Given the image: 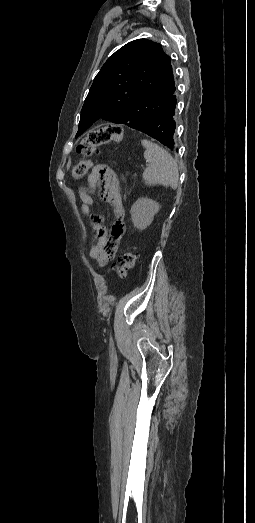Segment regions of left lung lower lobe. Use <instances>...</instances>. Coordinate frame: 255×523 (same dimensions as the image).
<instances>
[{
    "instance_id": "left-lung-lower-lobe-1",
    "label": "left lung lower lobe",
    "mask_w": 255,
    "mask_h": 523,
    "mask_svg": "<svg viewBox=\"0 0 255 523\" xmlns=\"http://www.w3.org/2000/svg\"><path fill=\"white\" fill-rule=\"evenodd\" d=\"M178 107L179 104L177 102L168 104L165 107V111H163L164 115H154L156 121H151V123L136 127V129L144 131V136L154 137V140H159L158 144L160 146L166 144L169 150H175L177 145L174 143V140L177 132L176 125L173 124L175 121L173 115H176L175 109Z\"/></svg>"
}]
</instances>
